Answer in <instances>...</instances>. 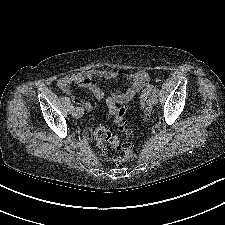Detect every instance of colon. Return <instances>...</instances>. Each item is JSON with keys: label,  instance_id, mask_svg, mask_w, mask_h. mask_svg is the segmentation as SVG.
Masks as SVG:
<instances>
[{"label": "colon", "instance_id": "5ec220e1", "mask_svg": "<svg viewBox=\"0 0 225 225\" xmlns=\"http://www.w3.org/2000/svg\"><path fill=\"white\" fill-rule=\"evenodd\" d=\"M152 86H147L139 96V104L143 116L148 119L150 116L149 96ZM109 114L114 120L117 128L126 136H132L131 129L124 121L125 109L113 106L109 109ZM93 139L98 144L103 156L112 163H120L131 160L134 157V149L131 143L120 142L119 138L107 126H100L92 133Z\"/></svg>", "mask_w": 225, "mask_h": 225}]
</instances>
